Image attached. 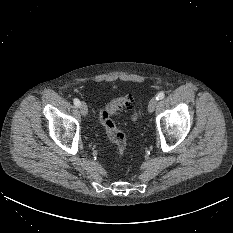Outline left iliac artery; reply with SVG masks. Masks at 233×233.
I'll list each match as a JSON object with an SVG mask.
<instances>
[{
    "mask_svg": "<svg viewBox=\"0 0 233 233\" xmlns=\"http://www.w3.org/2000/svg\"><path fill=\"white\" fill-rule=\"evenodd\" d=\"M165 97V93L164 92H159L156 96L157 100H161Z\"/></svg>",
    "mask_w": 233,
    "mask_h": 233,
    "instance_id": "left-iliac-artery-1",
    "label": "left iliac artery"
}]
</instances>
